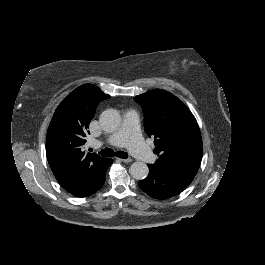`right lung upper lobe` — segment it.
Wrapping results in <instances>:
<instances>
[{"label":"right lung upper lobe","mask_w":265,"mask_h":265,"mask_svg":"<svg viewBox=\"0 0 265 265\" xmlns=\"http://www.w3.org/2000/svg\"><path fill=\"white\" fill-rule=\"evenodd\" d=\"M97 86L85 84L57 107L46 137V156L58 183L80 197L95 191L105 180L111 159L81 150L99 102L109 98Z\"/></svg>","instance_id":"cb5924a9"}]
</instances>
